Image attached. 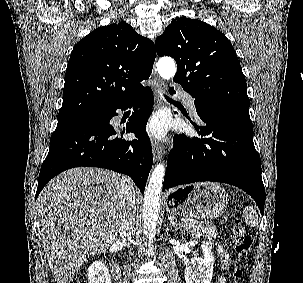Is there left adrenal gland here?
<instances>
[{
    "label": "left adrenal gland",
    "instance_id": "1",
    "mask_svg": "<svg viewBox=\"0 0 303 283\" xmlns=\"http://www.w3.org/2000/svg\"><path fill=\"white\" fill-rule=\"evenodd\" d=\"M169 227L170 228H179L180 229V226L176 222H174L173 220H170Z\"/></svg>",
    "mask_w": 303,
    "mask_h": 283
}]
</instances>
